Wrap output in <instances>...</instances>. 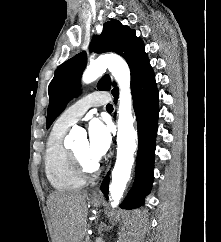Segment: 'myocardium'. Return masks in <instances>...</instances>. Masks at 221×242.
<instances>
[{
	"label": "myocardium",
	"mask_w": 221,
	"mask_h": 242,
	"mask_svg": "<svg viewBox=\"0 0 221 242\" xmlns=\"http://www.w3.org/2000/svg\"><path fill=\"white\" fill-rule=\"evenodd\" d=\"M70 156L75 171L81 177L88 178L89 176L94 175L98 171L99 165L97 163L87 165L79 158V156L75 153L74 150L70 151Z\"/></svg>",
	"instance_id": "myocardium-1"
}]
</instances>
